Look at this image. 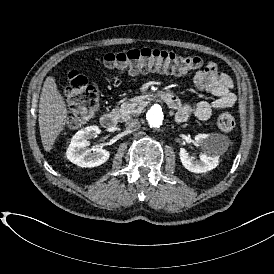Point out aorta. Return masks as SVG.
Instances as JSON below:
<instances>
[{
    "instance_id": "obj_1",
    "label": "aorta",
    "mask_w": 274,
    "mask_h": 274,
    "mask_svg": "<svg viewBox=\"0 0 274 274\" xmlns=\"http://www.w3.org/2000/svg\"><path fill=\"white\" fill-rule=\"evenodd\" d=\"M148 124L153 129H160L163 127L166 118L163 109L160 105L154 104L146 113Z\"/></svg>"
}]
</instances>
